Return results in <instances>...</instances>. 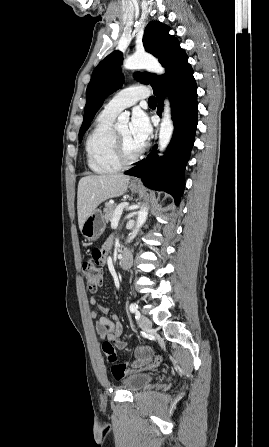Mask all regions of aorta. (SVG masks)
I'll return each mask as SVG.
<instances>
[{
  "mask_svg": "<svg viewBox=\"0 0 269 447\" xmlns=\"http://www.w3.org/2000/svg\"><path fill=\"white\" fill-rule=\"evenodd\" d=\"M123 68L125 70H149V72H154V74H165V68H162L161 64H159L157 58L151 56V54H133V56H127L126 60H124ZM164 110H163V118L161 120L160 128H159V142H158V150L160 152H164L166 150L168 144H170V140L172 138L174 126L171 120V108L169 100H165L164 102ZM118 122L116 124V128H120V130H128V122L129 116L127 114H120L117 118ZM162 156V154H159ZM148 216V208H141L137 222L135 225V229L129 233L128 241L134 239L136 237L140 227L145 224Z\"/></svg>",
  "mask_w": 269,
  "mask_h": 447,
  "instance_id": "762f6f07",
  "label": "aorta"
}]
</instances>
